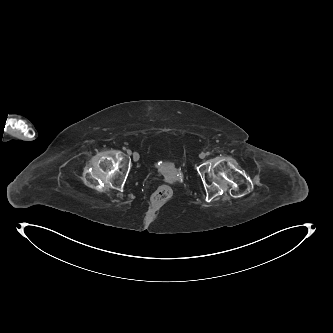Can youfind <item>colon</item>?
<instances>
[{
    "mask_svg": "<svg viewBox=\"0 0 333 333\" xmlns=\"http://www.w3.org/2000/svg\"><path fill=\"white\" fill-rule=\"evenodd\" d=\"M173 196V191L170 186H160L151 196V205L154 208H161L164 206Z\"/></svg>",
    "mask_w": 333,
    "mask_h": 333,
    "instance_id": "1",
    "label": "colon"
}]
</instances>
